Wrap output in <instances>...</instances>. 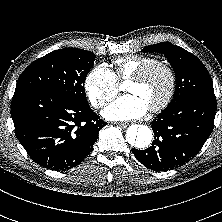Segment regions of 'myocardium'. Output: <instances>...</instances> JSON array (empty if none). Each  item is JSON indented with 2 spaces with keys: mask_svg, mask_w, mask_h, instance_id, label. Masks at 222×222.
I'll use <instances>...</instances> for the list:
<instances>
[{
  "mask_svg": "<svg viewBox=\"0 0 222 222\" xmlns=\"http://www.w3.org/2000/svg\"><path fill=\"white\" fill-rule=\"evenodd\" d=\"M161 67L163 68L169 77V85L166 94L164 95L163 99L156 105L150 107L148 110L152 113L159 112L166 108L170 101L172 100L175 90H176V74L173 67L161 60H153L142 67H140L134 74H132L128 79L127 82H140L142 81L147 74L154 68Z\"/></svg>",
  "mask_w": 222,
  "mask_h": 222,
  "instance_id": "obj_1",
  "label": "myocardium"
}]
</instances>
